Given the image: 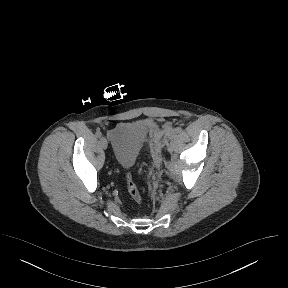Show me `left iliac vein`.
Segmentation results:
<instances>
[{
	"mask_svg": "<svg viewBox=\"0 0 288 288\" xmlns=\"http://www.w3.org/2000/svg\"><path fill=\"white\" fill-rule=\"evenodd\" d=\"M168 138H169V136H167V137L164 139V143L167 142Z\"/></svg>",
	"mask_w": 288,
	"mask_h": 288,
	"instance_id": "4c4485c4",
	"label": "left iliac vein"
}]
</instances>
